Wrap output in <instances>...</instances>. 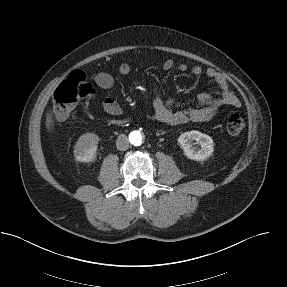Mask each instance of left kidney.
Returning <instances> with one entry per match:
<instances>
[{"label": "left kidney", "mask_w": 287, "mask_h": 287, "mask_svg": "<svg viewBox=\"0 0 287 287\" xmlns=\"http://www.w3.org/2000/svg\"><path fill=\"white\" fill-rule=\"evenodd\" d=\"M178 143L185 156L195 161L206 160L214 151L212 138L196 130L182 133L178 138ZM195 144H198V146H194Z\"/></svg>", "instance_id": "obj_1"}]
</instances>
